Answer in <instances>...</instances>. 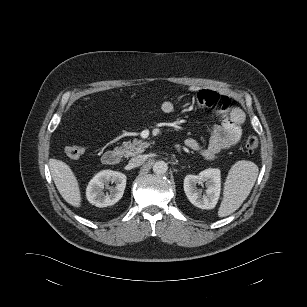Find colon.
I'll return each instance as SVG.
<instances>
[{"instance_id": "colon-1", "label": "colon", "mask_w": 307, "mask_h": 307, "mask_svg": "<svg viewBox=\"0 0 307 307\" xmlns=\"http://www.w3.org/2000/svg\"><path fill=\"white\" fill-rule=\"evenodd\" d=\"M258 147V139L257 137L251 135L248 136L245 141V148L248 152H254ZM66 156L70 159L76 160L81 157L84 153V148L79 145H70L66 146L64 149Z\"/></svg>"}]
</instances>
